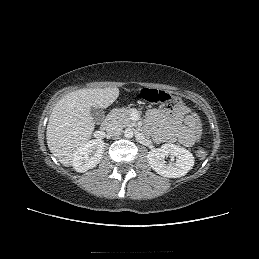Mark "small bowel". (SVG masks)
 <instances>
[{"label": "small bowel", "mask_w": 259, "mask_h": 259, "mask_svg": "<svg viewBox=\"0 0 259 259\" xmlns=\"http://www.w3.org/2000/svg\"><path fill=\"white\" fill-rule=\"evenodd\" d=\"M190 109L186 105L150 109L146 113L149 128L154 131L158 140L192 146L196 142Z\"/></svg>", "instance_id": "obj_1"}]
</instances>
